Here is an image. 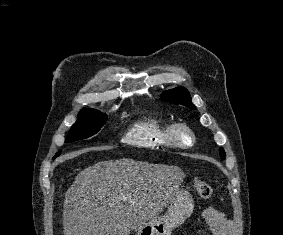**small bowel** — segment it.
I'll list each match as a JSON object with an SVG mask.
<instances>
[{
    "label": "small bowel",
    "instance_id": "c3829d8e",
    "mask_svg": "<svg viewBox=\"0 0 283 235\" xmlns=\"http://www.w3.org/2000/svg\"><path fill=\"white\" fill-rule=\"evenodd\" d=\"M203 218L211 227L214 235H230L232 223L220 211L214 207H207L203 210Z\"/></svg>",
    "mask_w": 283,
    "mask_h": 235
}]
</instances>
